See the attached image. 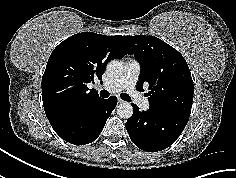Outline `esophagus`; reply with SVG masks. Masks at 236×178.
<instances>
[{"label": "esophagus", "mask_w": 236, "mask_h": 178, "mask_svg": "<svg viewBox=\"0 0 236 178\" xmlns=\"http://www.w3.org/2000/svg\"><path fill=\"white\" fill-rule=\"evenodd\" d=\"M124 101L122 99H118V104H122Z\"/></svg>", "instance_id": "34e87169"}]
</instances>
